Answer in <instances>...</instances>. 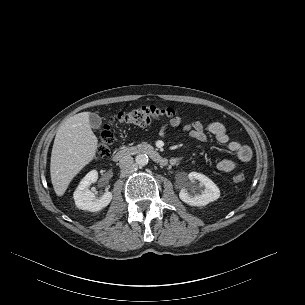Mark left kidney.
Returning <instances> with one entry per match:
<instances>
[{
  "label": "left kidney",
  "mask_w": 305,
  "mask_h": 305,
  "mask_svg": "<svg viewBox=\"0 0 305 305\" xmlns=\"http://www.w3.org/2000/svg\"><path fill=\"white\" fill-rule=\"evenodd\" d=\"M189 186L200 182V185L203 187L201 189V194H196L195 192H190L188 188L184 187L179 193L180 199L187 203L190 206H205L210 202L217 200L220 197V190L216 184L209 179L207 176L191 172L188 174Z\"/></svg>",
  "instance_id": "obj_1"
}]
</instances>
